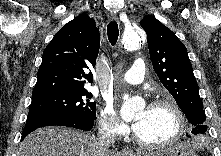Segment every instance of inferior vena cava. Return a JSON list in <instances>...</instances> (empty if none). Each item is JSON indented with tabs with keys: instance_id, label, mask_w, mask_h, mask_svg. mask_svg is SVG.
Returning a JSON list of instances; mask_svg holds the SVG:
<instances>
[{
	"instance_id": "inferior-vena-cava-1",
	"label": "inferior vena cava",
	"mask_w": 221,
	"mask_h": 156,
	"mask_svg": "<svg viewBox=\"0 0 221 156\" xmlns=\"http://www.w3.org/2000/svg\"><path fill=\"white\" fill-rule=\"evenodd\" d=\"M97 142L100 148L109 149L115 142V134L111 127H106L103 129L97 138Z\"/></svg>"
}]
</instances>
